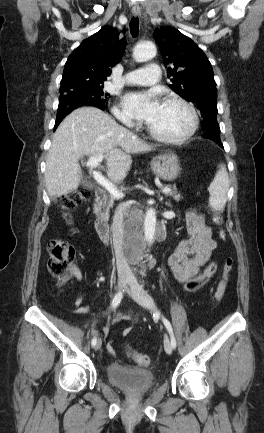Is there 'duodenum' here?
<instances>
[{
	"label": "duodenum",
	"instance_id": "410a0bca",
	"mask_svg": "<svg viewBox=\"0 0 264 433\" xmlns=\"http://www.w3.org/2000/svg\"><path fill=\"white\" fill-rule=\"evenodd\" d=\"M105 194L97 190L93 196L92 212L94 217V227L98 236L105 242H108L111 236V228L108 221L101 215L99 205L104 200Z\"/></svg>",
	"mask_w": 264,
	"mask_h": 433
}]
</instances>
